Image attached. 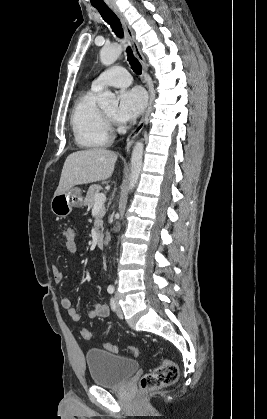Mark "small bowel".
I'll return each mask as SVG.
<instances>
[{
    "instance_id": "c3829d8e",
    "label": "small bowel",
    "mask_w": 267,
    "mask_h": 419,
    "mask_svg": "<svg viewBox=\"0 0 267 419\" xmlns=\"http://www.w3.org/2000/svg\"><path fill=\"white\" fill-rule=\"evenodd\" d=\"M65 252L69 254H74L77 251V244L75 245H69L65 244L64 248ZM51 272L53 275V279L55 282L60 283L63 280V273L61 269L57 265H52ZM62 307L67 311L68 315L72 318L74 321H80L81 320V314L79 311L72 305V302L69 298H63L61 300ZM109 307L106 304L102 303H95L87 313V316L90 319L95 318H104L109 315Z\"/></svg>"
}]
</instances>
